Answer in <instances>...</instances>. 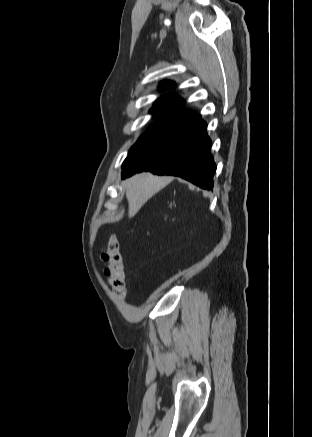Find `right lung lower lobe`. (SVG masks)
I'll return each mask as SVG.
<instances>
[{"label": "right lung lower lobe", "instance_id": "98d812e1", "mask_svg": "<svg viewBox=\"0 0 312 437\" xmlns=\"http://www.w3.org/2000/svg\"><path fill=\"white\" fill-rule=\"evenodd\" d=\"M201 117L173 141L144 152L129 154L123 162L122 178L142 171L175 175L202 189L213 188L216 164L210 152L211 141Z\"/></svg>", "mask_w": 312, "mask_h": 437}]
</instances>
